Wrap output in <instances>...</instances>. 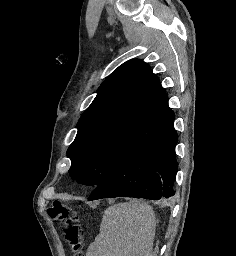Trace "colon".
Returning a JSON list of instances; mask_svg holds the SVG:
<instances>
[{
  "label": "colon",
  "mask_w": 236,
  "mask_h": 256,
  "mask_svg": "<svg viewBox=\"0 0 236 256\" xmlns=\"http://www.w3.org/2000/svg\"><path fill=\"white\" fill-rule=\"evenodd\" d=\"M48 216L65 227L63 235L68 242L73 256H85L83 251L82 232L77 212L62 200H54L47 210Z\"/></svg>",
  "instance_id": "1"
}]
</instances>
